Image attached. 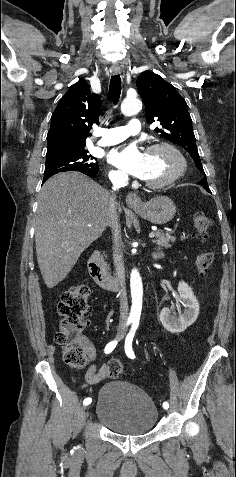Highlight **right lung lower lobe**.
Here are the masks:
<instances>
[{"instance_id": "98d812e1", "label": "right lung lower lobe", "mask_w": 236, "mask_h": 477, "mask_svg": "<svg viewBox=\"0 0 236 477\" xmlns=\"http://www.w3.org/2000/svg\"><path fill=\"white\" fill-rule=\"evenodd\" d=\"M97 174H98V172H97L95 175H88V176L94 178ZM86 175H87V174H86ZM49 177H51V176L44 177V178H43V183H44Z\"/></svg>"}]
</instances>
